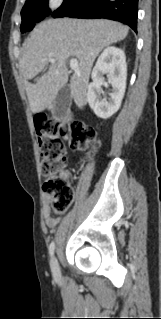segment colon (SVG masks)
I'll list each match as a JSON object with an SVG mask.
<instances>
[{
    "instance_id": "obj_1",
    "label": "colon",
    "mask_w": 161,
    "mask_h": 319,
    "mask_svg": "<svg viewBox=\"0 0 161 319\" xmlns=\"http://www.w3.org/2000/svg\"><path fill=\"white\" fill-rule=\"evenodd\" d=\"M35 133L43 187L52 196L50 202L52 213L62 215L67 212L74 199L66 178L60 176L66 163L65 140L77 151L86 150L89 145L96 148L99 146V141L94 129L82 123L65 126L43 117L35 119Z\"/></svg>"
}]
</instances>
